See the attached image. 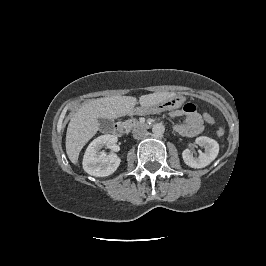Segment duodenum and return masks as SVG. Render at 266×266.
<instances>
[{
    "label": "duodenum",
    "instance_id": "duodenum-1",
    "mask_svg": "<svg viewBox=\"0 0 266 266\" xmlns=\"http://www.w3.org/2000/svg\"><path fill=\"white\" fill-rule=\"evenodd\" d=\"M114 130L118 136H121L125 130L124 123L122 121L115 123Z\"/></svg>",
    "mask_w": 266,
    "mask_h": 266
}]
</instances>
